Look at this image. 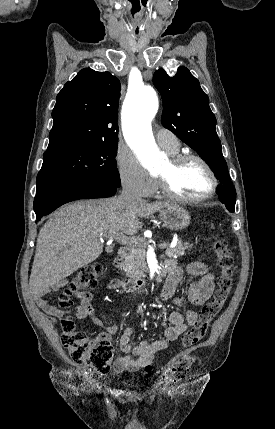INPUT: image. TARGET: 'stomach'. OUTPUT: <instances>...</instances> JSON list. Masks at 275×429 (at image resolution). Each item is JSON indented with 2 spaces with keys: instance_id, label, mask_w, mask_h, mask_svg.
I'll return each mask as SVG.
<instances>
[{
  "instance_id": "obj_1",
  "label": "stomach",
  "mask_w": 275,
  "mask_h": 429,
  "mask_svg": "<svg viewBox=\"0 0 275 429\" xmlns=\"http://www.w3.org/2000/svg\"><path fill=\"white\" fill-rule=\"evenodd\" d=\"M160 219L171 230H182L190 224L191 217L186 209L171 205L160 211Z\"/></svg>"
}]
</instances>
